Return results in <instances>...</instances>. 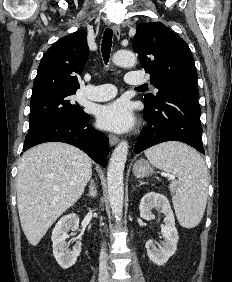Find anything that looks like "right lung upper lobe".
I'll return each mask as SVG.
<instances>
[{
  "instance_id": "1",
  "label": "right lung upper lobe",
  "mask_w": 232,
  "mask_h": 282,
  "mask_svg": "<svg viewBox=\"0 0 232 282\" xmlns=\"http://www.w3.org/2000/svg\"><path fill=\"white\" fill-rule=\"evenodd\" d=\"M89 49L86 33L78 30L60 38L44 54L34 80L33 91L80 88L77 75H81Z\"/></svg>"
}]
</instances>
